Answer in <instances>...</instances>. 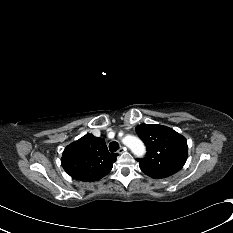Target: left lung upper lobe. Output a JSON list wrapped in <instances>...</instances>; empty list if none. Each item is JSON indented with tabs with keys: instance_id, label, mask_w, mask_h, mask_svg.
<instances>
[{
	"instance_id": "5c2ea615",
	"label": "left lung upper lobe",
	"mask_w": 233,
	"mask_h": 233,
	"mask_svg": "<svg viewBox=\"0 0 233 233\" xmlns=\"http://www.w3.org/2000/svg\"><path fill=\"white\" fill-rule=\"evenodd\" d=\"M136 133L146 145L145 157L137 159L146 175L161 179L179 171L187 159V141L173 129L158 124H141Z\"/></svg>"
}]
</instances>
